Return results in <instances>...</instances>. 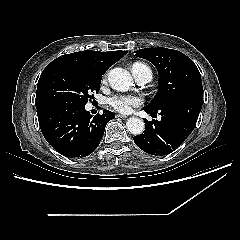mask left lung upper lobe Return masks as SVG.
Here are the masks:
<instances>
[{"label": "left lung upper lobe", "mask_w": 240, "mask_h": 240, "mask_svg": "<svg viewBox=\"0 0 240 240\" xmlns=\"http://www.w3.org/2000/svg\"><path fill=\"white\" fill-rule=\"evenodd\" d=\"M135 53L153 63L159 73V92L146 108L158 111L176 99L203 94L200 72L183 53L162 47L144 48Z\"/></svg>", "instance_id": "obj_1"}]
</instances>
